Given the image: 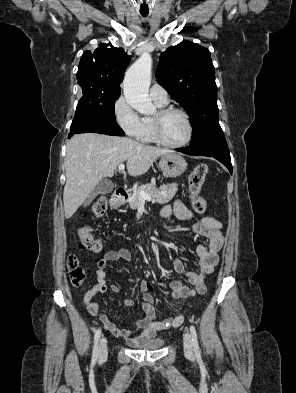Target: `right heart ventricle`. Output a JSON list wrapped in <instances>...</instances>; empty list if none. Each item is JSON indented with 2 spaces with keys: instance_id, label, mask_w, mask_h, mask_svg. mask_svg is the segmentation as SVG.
I'll list each match as a JSON object with an SVG mask.
<instances>
[{
  "instance_id": "obj_1",
  "label": "right heart ventricle",
  "mask_w": 296,
  "mask_h": 393,
  "mask_svg": "<svg viewBox=\"0 0 296 393\" xmlns=\"http://www.w3.org/2000/svg\"><path fill=\"white\" fill-rule=\"evenodd\" d=\"M155 103V102H154ZM158 108H163L165 105H159L155 103ZM142 134L139 140L143 143H153L155 142L154 134H153V124H152V117H143L142 118Z\"/></svg>"
}]
</instances>
